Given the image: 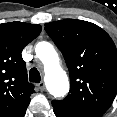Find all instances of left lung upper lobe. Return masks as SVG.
<instances>
[{
    "label": "left lung upper lobe",
    "instance_id": "left-lung-upper-lobe-1",
    "mask_svg": "<svg viewBox=\"0 0 117 117\" xmlns=\"http://www.w3.org/2000/svg\"><path fill=\"white\" fill-rule=\"evenodd\" d=\"M70 72V92L52 105L80 117H101L117 93V50L97 25L76 19L45 24Z\"/></svg>",
    "mask_w": 117,
    "mask_h": 117
}]
</instances>
